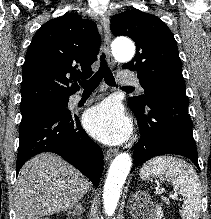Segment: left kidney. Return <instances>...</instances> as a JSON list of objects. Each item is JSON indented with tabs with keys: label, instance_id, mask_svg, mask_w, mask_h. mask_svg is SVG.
I'll list each match as a JSON object with an SVG mask.
<instances>
[{
	"label": "left kidney",
	"instance_id": "5707ae66",
	"mask_svg": "<svg viewBox=\"0 0 211 219\" xmlns=\"http://www.w3.org/2000/svg\"><path fill=\"white\" fill-rule=\"evenodd\" d=\"M162 218H163L162 208L160 206H155L148 214L147 219H162Z\"/></svg>",
	"mask_w": 211,
	"mask_h": 219
}]
</instances>
